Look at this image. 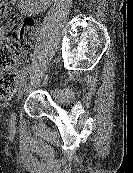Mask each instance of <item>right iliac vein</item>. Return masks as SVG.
Returning <instances> with one entry per match:
<instances>
[{
	"label": "right iliac vein",
	"instance_id": "63e3f726",
	"mask_svg": "<svg viewBox=\"0 0 133 173\" xmlns=\"http://www.w3.org/2000/svg\"><path fill=\"white\" fill-rule=\"evenodd\" d=\"M28 82H29L28 77H24L23 80L21 81L19 92H18V99H19L20 95L23 93V90L26 88ZM18 99H17V101H18ZM15 120H16V113L13 112L11 115V122L15 123Z\"/></svg>",
	"mask_w": 133,
	"mask_h": 173
}]
</instances>
